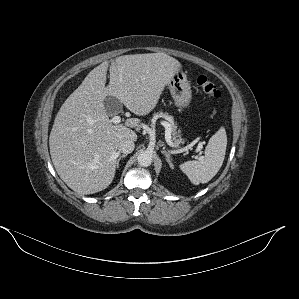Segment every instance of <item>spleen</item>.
I'll return each mask as SVG.
<instances>
[{"instance_id": "1", "label": "spleen", "mask_w": 299, "mask_h": 299, "mask_svg": "<svg viewBox=\"0 0 299 299\" xmlns=\"http://www.w3.org/2000/svg\"><path fill=\"white\" fill-rule=\"evenodd\" d=\"M227 135L221 127L208 141L205 156L198 161H186L180 169L188 176L190 181L198 185L209 182L220 170L226 153Z\"/></svg>"}]
</instances>
